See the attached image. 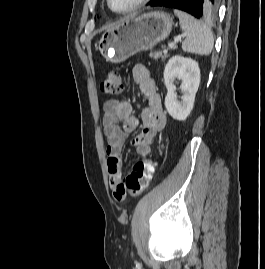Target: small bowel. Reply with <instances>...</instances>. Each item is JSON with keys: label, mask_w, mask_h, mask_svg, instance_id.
Instances as JSON below:
<instances>
[{"label": "small bowel", "mask_w": 265, "mask_h": 269, "mask_svg": "<svg viewBox=\"0 0 265 269\" xmlns=\"http://www.w3.org/2000/svg\"><path fill=\"white\" fill-rule=\"evenodd\" d=\"M133 78L139 90L146 97L147 106L141 115L143 130L133 139L132 144L140 156L147 157L151 153V146L156 136L166 125V116L162 108L161 97L149 70L144 65L137 64L133 68ZM101 119L107 142L109 185L114 197L118 199L117 191L123 188L121 180L122 148L125 138L137 128L138 120L132 114L131 103L119 98H109L105 101Z\"/></svg>", "instance_id": "obj_1"}]
</instances>
